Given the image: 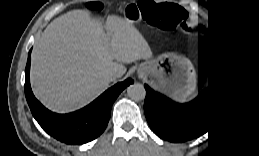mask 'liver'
<instances>
[{"label": "liver", "mask_w": 259, "mask_h": 156, "mask_svg": "<svg viewBox=\"0 0 259 156\" xmlns=\"http://www.w3.org/2000/svg\"><path fill=\"white\" fill-rule=\"evenodd\" d=\"M150 56L147 42L131 21L110 17L102 24L86 10H72L54 19L36 41L31 87L48 109L71 112L103 93L110 73L122 76L124 63Z\"/></svg>", "instance_id": "liver-1"}]
</instances>
